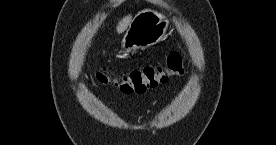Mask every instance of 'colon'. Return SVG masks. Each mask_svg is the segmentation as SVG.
Returning <instances> with one entry per match:
<instances>
[{"instance_id": "1", "label": "colon", "mask_w": 276, "mask_h": 145, "mask_svg": "<svg viewBox=\"0 0 276 145\" xmlns=\"http://www.w3.org/2000/svg\"><path fill=\"white\" fill-rule=\"evenodd\" d=\"M183 71L182 56L173 52L162 65L134 68L124 74H113L106 69H98L95 71V77L102 84L113 86L123 94H141L167 83L172 77L181 75Z\"/></svg>"}]
</instances>
